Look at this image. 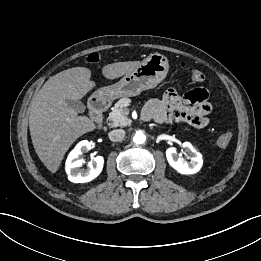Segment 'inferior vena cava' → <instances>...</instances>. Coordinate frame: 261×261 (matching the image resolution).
I'll use <instances>...</instances> for the list:
<instances>
[{
    "label": "inferior vena cava",
    "instance_id": "1",
    "mask_svg": "<svg viewBox=\"0 0 261 261\" xmlns=\"http://www.w3.org/2000/svg\"><path fill=\"white\" fill-rule=\"evenodd\" d=\"M109 139L113 142H120L125 138V131L122 129H115L109 132Z\"/></svg>",
    "mask_w": 261,
    "mask_h": 261
}]
</instances>
